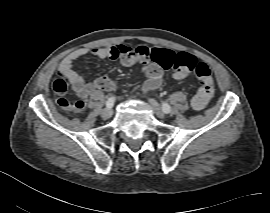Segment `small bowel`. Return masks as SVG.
Returning a JSON list of instances; mask_svg holds the SVG:
<instances>
[{
	"label": "small bowel",
	"mask_w": 270,
	"mask_h": 213,
	"mask_svg": "<svg viewBox=\"0 0 270 213\" xmlns=\"http://www.w3.org/2000/svg\"><path fill=\"white\" fill-rule=\"evenodd\" d=\"M154 52H168L171 55H176L174 51L163 47L154 48ZM87 54H92L99 59H119L126 67L133 66L137 62L136 56H119L116 52V47L81 48L70 52L59 64L58 71L60 78L58 80L61 81V84L65 89L68 86H71L78 93L82 101L91 97L96 90L116 89V85L107 75L99 77L92 83H87L82 76L73 69L74 62ZM143 72L148 77V80L143 85L144 91L150 92L160 86L164 73V69L160 65L146 64L143 66Z\"/></svg>",
	"instance_id": "obj_1"
}]
</instances>
